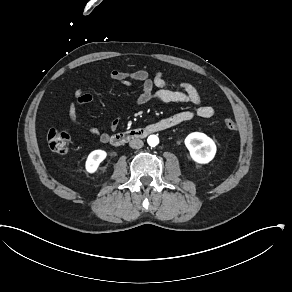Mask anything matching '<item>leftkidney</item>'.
I'll return each mask as SVG.
<instances>
[{"instance_id":"5707ae66","label":"left kidney","mask_w":292,"mask_h":292,"mask_svg":"<svg viewBox=\"0 0 292 292\" xmlns=\"http://www.w3.org/2000/svg\"><path fill=\"white\" fill-rule=\"evenodd\" d=\"M185 145L192 159L200 164L210 162L216 153L214 141L204 133L193 132L189 134L185 139Z\"/></svg>"}]
</instances>
